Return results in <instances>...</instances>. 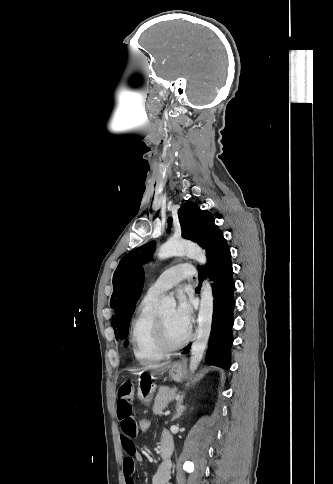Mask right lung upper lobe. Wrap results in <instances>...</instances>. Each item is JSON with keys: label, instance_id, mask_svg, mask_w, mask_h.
<instances>
[{"label": "right lung upper lobe", "instance_id": "cb5924a9", "mask_svg": "<svg viewBox=\"0 0 333 484\" xmlns=\"http://www.w3.org/2000/svg\"><path fill=\"white\" fill-rule=\"evenodd\" d=\"M143 284V268L142 266L137 265L133 267L126 275L117 296L115 314L119 335L126 322L130 321L135 304L142 292Z\"/></svg>", "mask_w": 333, "mask_h": 484}]
</instances>
